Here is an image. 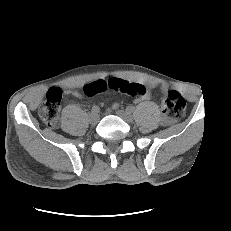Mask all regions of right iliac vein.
<instances>
[{"label": "right iliac vein", "instance_id": "63e3f726", "mask_svg": "<svg viewBox=\"0 0 231 231\" xmlns=\"http://www.w3.org/2000/svg\"><path fill=\"white\" fill-rule=\"evenodd\" d=\"M89 121L91 124H96L99 121V116L97 114L91 113L89 115Z\"/></svg>", "mask_w": 231, "mask_h": 231}]
</instances>
